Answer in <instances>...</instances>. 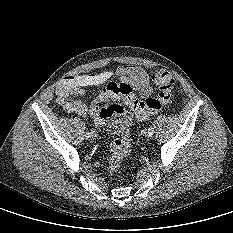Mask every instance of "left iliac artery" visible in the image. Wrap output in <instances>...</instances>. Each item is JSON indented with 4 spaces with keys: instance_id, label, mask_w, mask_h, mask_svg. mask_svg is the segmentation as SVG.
Listing matches in <instances>:
<instances>
[{
    "instance_id": "left-iliac-artery-1",
    "label": "left iliac artery",
    "mask_w": 233,
    "mask_h": 233,
    "mask_svg": "<svg viewBox=\"0 0 233 233\" xmlns=\"http://www.w3.org/2000/svg\"><path fill=\"white\" fill-rule=\"evenodd\" d=\"M153 134H154L153 127L150 126V127L148 128V135H149L150 137H152Z\"/></svg>"
}]
</instances>
